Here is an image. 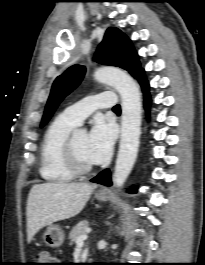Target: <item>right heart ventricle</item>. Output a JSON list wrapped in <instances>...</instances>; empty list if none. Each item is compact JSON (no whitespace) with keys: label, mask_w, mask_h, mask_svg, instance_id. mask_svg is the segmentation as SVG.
<instances>
[{"label":"right heart ventricle","mask_w":205,"mask_h":265,"mask_svg":"<svg viewBox=\"0 0 205 265\" xmlns=\"http://www.w3.org/2000/svg\"><path fill=\"white\" fill-rule=\"evenodd\" d=\"M77 125L63 114L59 115L47 128L41 145L40 174L52 183H65L74 178L67 165L65 152L67 140Z\"/></svg>","instance_id":"e07e8e85"}]
</instances>
